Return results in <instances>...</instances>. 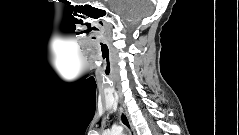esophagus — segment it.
I'll use <instances>...</instances> for the list:
<instances>
[{"label":"esophagus","instance_id":"obj_1","mask_svg":"<svg viewBox=\"0 0 239 135\" xmlns=\"http://www.w3.org/2000/svg\"><path fill=\"white\" fill-rule=\"evenodd\" d=\"M119 117H120L121 123L126 128L129 135H135V131H134V128L129 120V117L122 107L119 108Z\"/></svg>","mask_w":239,"mask_h":135}]
</instances>
